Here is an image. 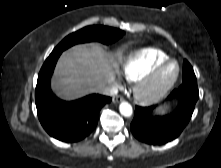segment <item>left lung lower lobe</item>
I'll use <instances>...</instances> for the list:
<instances>
[{
	"mask_svg": "<svg viewBox=\"0 0 221 168\" xmlns=\"http://www.w3.org/2000/svg\"><path fill=\"white\" fill-rule=\"evenodd\" d=\"M199 98L196 80H185L168 97V101L178 99L179 105L167 115L153 113L155 107L135 106L131 123L133 135L141 142L151 145L166 144L177 138L191 119L195 104Z\"/></svg>",
	"mask_w": 221,
	"mask_h": 168,
	"instance_id": "1",
	"label": "left lung lower lobe"
}]
</instances>
